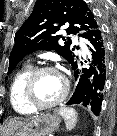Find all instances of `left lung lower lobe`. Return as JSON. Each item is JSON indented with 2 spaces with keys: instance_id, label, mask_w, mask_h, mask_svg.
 Instances as JSON below:
<instances>
[{
  "instance_id": "1",
  "label": "left lung lower lobe",
  "mask_w": 117,
  "mask_h": 136,
  "mask_svg": "<svg viewBox=\"0 0 117 136\" xmlns=\"http://www.w3.org/2000/svg\"><path fill=\"white\" fill-rule=\"evenodd\" d=\"M86 39L91 53V60L88 59L90 67L82 68L77 58L71 64L76 79V88L66 105H83L98 116L101 110L108 67L107 45L101 28L89 33Z\"/></svg>"
}]
</instances>
